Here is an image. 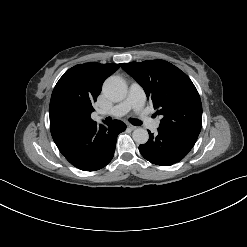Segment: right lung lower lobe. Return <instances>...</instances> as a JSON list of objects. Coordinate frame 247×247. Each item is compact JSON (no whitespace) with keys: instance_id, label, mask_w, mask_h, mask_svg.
Masks as SVG:
<instances>
[{"instance_id":"1","label":"right lung lower lobe","mask_w":247,"mask_h":247,"mask_svg":"<svg viewBox=\"0 0 247 247\" xmlns=\"http://www.w3.org/2000/svg\"><path fill=\"white\" fill-rule=\"evenodd\" d=\"M125 129L126 125L119 120L112 121L108 127L96 124L90 127L77 144L63 155L80 170H99L112 160L117 136Z\"/></svg>"}]
</instances>
